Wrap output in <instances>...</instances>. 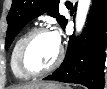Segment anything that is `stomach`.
I'll use <instances>...</instances> for the list:
<instances>
[{"label":"stomach","instance_id":"1","mask_svg":"<svg viewBox=\"0 0 107 89\" xmlns=\"http://www.w3.org/2000/svg\"><path fill=\"white\" fill-rule=\"evenodd\" d=\"M35 89H67V88H65L59 84L50 83V84H46L44 86L36 87Z\"/></svg>","mask_w":107,"mask_h":89}]
</instances>
